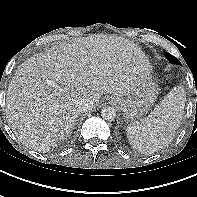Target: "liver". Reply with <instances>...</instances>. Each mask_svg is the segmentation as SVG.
I'll use <instances>...</instances> for the list:
<instances>
[{
	"label": "liver",
	"instance_id": "obj_1",
	"mask_svg": "<svg viewBox=\"0 0 197 197\" xmlns=\"http://www.w3.org/2000/svg\"><path fill=\"white\" fill-rule=\"evenodd\" d=\"M151 69L145 53L121 37L97 34L60 43L19 66L7 91V121L22 144L48 152L71 134L81 99L94 107L102 94L126 96Z\"/></svg>",
	"mask_w": 197,
	"mask_h": 197
}]
</instances>
